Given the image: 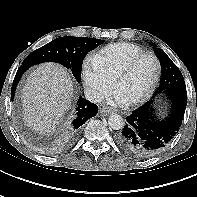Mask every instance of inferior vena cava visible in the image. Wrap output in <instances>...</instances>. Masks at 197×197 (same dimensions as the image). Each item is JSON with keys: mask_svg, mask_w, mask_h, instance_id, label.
<instances>
[{"mask_svg": "<svg viewBox=\"0 0 197 197\" xmlns=\"http://www.w3.org/2000/svg\"><path fill=\"white\" fill-rule=\"evenodd\" d=\"M84 94L86 99L92 103H99L103 99L102 93L94 89H85Z\"/></svg>", "mask_w": 197, "mask_h": 197, "instance_id": "inferior-vena-cava-1", "label": "inferior vena cava"}]
</instances>
